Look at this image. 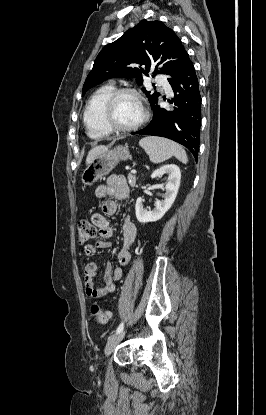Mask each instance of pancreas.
Listing matches in <instances>:
<instances>
[{"instance_id":"cf45deb5","label":"pancreas","mask_w":266,"mask_h":415,"mask_svg":"<svg viewBox=\"0 0 266 415\" xmlns=\"http://www.w3.org/2000/svg\"><path fill=\"white\" fill-rule=\"evenodd\" d=\"M128 180H129L130 186L134 187L136 184V176L134 174H129Z\"/></svg>"}]
</instances>
